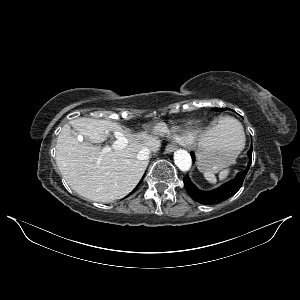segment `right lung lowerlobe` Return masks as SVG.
Masks as SVG:
<instances>
[{
	"instance_id": "98d812e1",
	"label": "right lung lower lobe",
	"mask_w": 300,
	"mask_h": 300,
	"mask_svg": "<svg viewBox=\"0 0 300 300\" xmlns=\"http://www.w3.org/2000/svg\"><path fill=\"white\" fill-rule=\"evenodd\" d=\"M140 183H141V181H140ZM138 185H139V184H138ZM136 189H137V187L134 189V191H135ZM134 191H133V192H134Z\"/></svg>"
}]
</instances>
